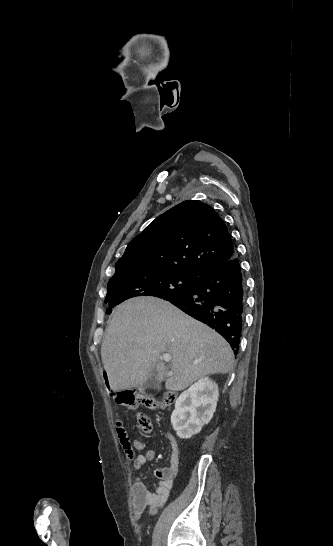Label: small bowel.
<instances>
[{"label": "small bowel", "mask_w": 333, "mask_h": 546, "mask_svg": "<svg viewBox=\"0 0 333 546\" xmlns=\"http://www.w3.org/2000/svg\"><path fill=\"white\" fill-rule=\"evenodd\" d=\"M171 444V461L169 467L156 471L157 477L160 479L154 485L153 490H149L142 482L140 477H137L133 485V511L136 519H142L146 512L154 513L158 508L162 507L169 497V487L171 486L174 477L177 475L180 466V452L178 444L170 433L166 434ZM133 446L137 450H144L145 443L142 440L135 439ZM154 456V452L149 450L143 454H139L132 459V466L136 471L149 462Z\"/></svg>", "instance_id": "small-bowel-1"}]
</instances>
